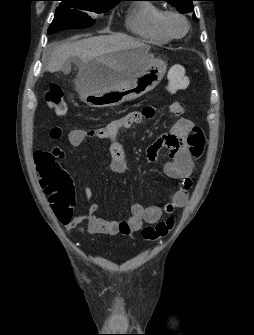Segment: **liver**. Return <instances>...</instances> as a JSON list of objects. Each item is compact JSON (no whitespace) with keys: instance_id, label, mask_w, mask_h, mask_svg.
Wrapping results in <instances>:
<instances>
[{"instance_id":"6515ba94","label":"liver","mask_w":254,"mask_h":335,"mask_svg":"<svg viewBox=\"0 0 254 335\" xmlns=\"http://www.w3.org/2000/svg\"><path fill=\"white\" fill-rule=\"evenodd\" d=\"M142 45L144 44L140 40L122 34L89 37L76 42L57 45L47 63V70L54 73L66 67V71H68L69 66H67V63L70 59H73L78 64V78H80L88 74L89 64L93 60L97 58L107 60L113 53ZM134 74L136 72L112 75L105 89H119ZM77 91L79 92L78 88Z\"/></svg>"}]
</instances>
